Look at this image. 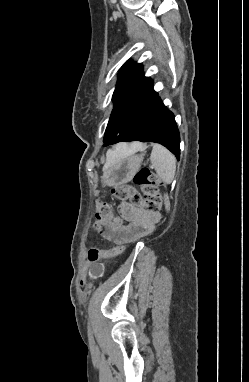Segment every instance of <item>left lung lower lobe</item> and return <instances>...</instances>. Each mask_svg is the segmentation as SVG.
I'll list each match as a JSON object with an SVG mask.
<instances>
[{"instance_id": "left-lung-lower-lobe-1", "label": "left lung lower lobe", "mask_w": 249, "mask_h": 382, "mask_svg": "<svg viewBox=\"0 0 249 382\" xmlns=\"http://www.w3.org/2000/svg\"><path fill=\"white\" fill-rule=\"evenodd\" d=\"M122 141L159 143L169 149L177 159L180 158V136L174 114L165 107L158 95L140 119L110 144Z\"/></svg>"}]
</instances>
